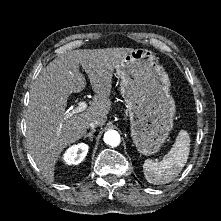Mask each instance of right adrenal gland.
I'll use <instances>...</instances> for the list:
<instances>
[{"mask_svg": "<svg viewBox=\"0 0 221 221\" xmlns=\"http://www.w3.org/2000/svg\"><path fill=\"white\" fill-rule=\"evenodd\" d=\"M94 132H95V129H92V131L89 132L88 134H85L83 138L84 139L85 138H89V140L92 142L93 141V134H94Z\"/></svg>", "mask_w": 221, "mask_h": 221, "instance_id": "obj_1", "label": "right adrenal gland"}]
</instances>
